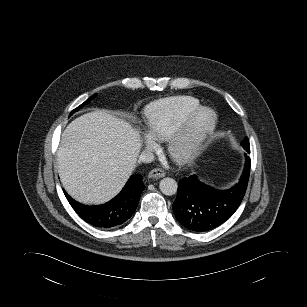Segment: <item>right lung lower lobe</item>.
<instances>
[{
    "label": "right lung lower lobe",
    "mask_w": 307,
    "mask_h": 307,
    "mask_svg": "<svg viewBox=\"0 0 307 307\" xmlns=\"http://www.w3.org/2000/svg\"><path fill=\"white\" fill-rule=\"evenodd\" d=\"M145 186L142 176L130 177L122 191L111 201L98 206H85L64 194L76 213L90 225L108 229L121 225L135 212Z\"/></svg>",
    "instance_id": "obj_1"
}]
</instances>
